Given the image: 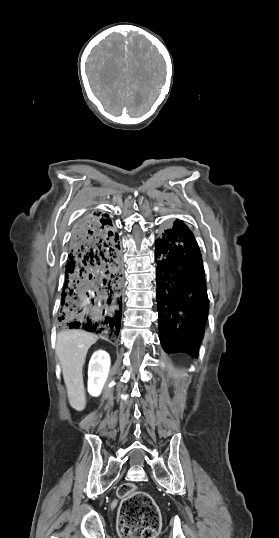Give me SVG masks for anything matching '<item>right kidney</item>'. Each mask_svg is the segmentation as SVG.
Wrapping results in <instances>:
<instances>
[{"mask_svg": "<svg viewBox=\"0 0 279 538\" xmlns=\"http://www.w3.org/2000/svg\"><path fill=\"white\" fill-rule=\"evenodd\" d=\"M110 356L103 350L94 352L88 366V392L91 396H99L108 378Z\"/></svg>", "mask_w": 279, "mask_h": 538, "instance_id": "obj_1", "label": "right kidney"}]
</instances>
